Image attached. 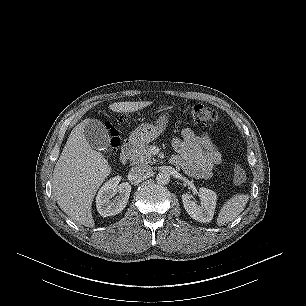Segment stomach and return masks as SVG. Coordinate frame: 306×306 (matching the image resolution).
Segmentation results:
<instances>
[{
    "label": "stomach",
    "instance_id": "1",
    "mask_svg": "<svg viewBox=\"0 0 306 306\" xmlns=\"http://www.w3.org/2000/svg\"><path fill=\"white\" fill-rule=\"evenodd\" d=\"M169 121V114L164 113L154 124H142L129 136V140L136 145L147 144L156 139L166 129Z\"/></svg>",
    "mask_w": 306,
    "mask_h": 306
}]
</instances>
